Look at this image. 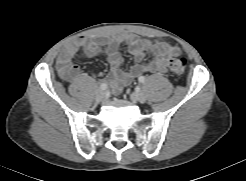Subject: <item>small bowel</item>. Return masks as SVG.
I'll use <instances>...</instances> for the list:
<instances>
[{
  "instance_id": "1",
  "label": "small bowel",
  "mask_w": 246,
  "mask_h": 181,
  "mask_svg": "<svg viewBox=\"0 0 246 181\" xmlns=\"http://www.w3.org/2000/svg\"><path fill=\"white\" fill-rule=\"evenodd\" d=\"M127 44L135 64L129 71L121 70L123 57L119 47ZM82 50L89 57H106L111 70L105 77L114 92H119L134 78L146 73H165L169 60L180 55V49L159 40L140 39L134 34L120 32L110 37H78L68 42L57 59V69L65 80H77L80 69L73 63L75 54ZM151 51L153 58L144 62L146 53Z\"/></svg>"
}]
</instances>
